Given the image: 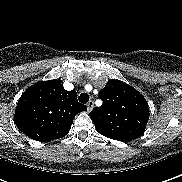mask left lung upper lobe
Instances as JSON below:
<instances>
[{"mask_svg": "<svg viewBox=\"0 0 182 182\" xmlns=\"http://www.w3.org/2000/svg\"><path fill=\"white\" fill-rule=\"evenodd\" d=\"M99 98L103 105L89 113L98 133L118 141H130L144 133L149 107L135 88L120 80H109Z\"/></svg>", "mask_w": 182, "mask_h": 182, "instance_id": "left-lung-upper-lobe-1", "label": "left lung upper lobe"}]
</instances>
